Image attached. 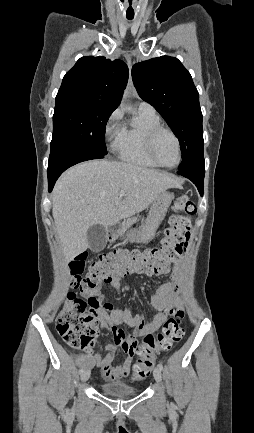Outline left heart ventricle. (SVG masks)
<instances>
[{
	"label": "left heart ventricle",
	"mask_w": 254,
	"mask_h": 433,
	"mask_svg": "<svg viewBox=\"0 0 254 433\" xmlns=\"http://www.w3.org/2000/svg\"><path fill=\"white\" fill-rule=\"evenodd\" d=\"M155 154L161 163L173 165L178 158L177 145L174 138L166 133L161 132L155 140Z\"/></svg>",
	"instance_id": "left-heart-ventricle-1"
}]
</instances>
